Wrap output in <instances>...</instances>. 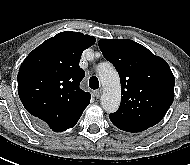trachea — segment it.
<instances>
[{"label": "trachea", "mask_w": 190, "mask_h": 165, "mask_svg": "<svg viewBox=\"0 0 190 165\" xmlns=\"http://www.w3.org/2000/svg\"><path fill=\"white\" fill-rule=\"evenodd\" d=\"M89 86L91 89L93 90H96L99 88V80L97 77L95 76H92L90 79H89Z\"/></svg>", "instance_id": "3493384b"}]
</instances>
